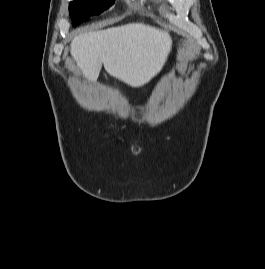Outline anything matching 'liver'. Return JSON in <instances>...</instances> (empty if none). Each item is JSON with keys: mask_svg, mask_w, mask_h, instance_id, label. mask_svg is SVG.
I'll list each match as a JSON object with an SVG mask.
<instances>
[{"mask_svg": "<svg viewBox=\"0 0 265 269\" xmlns=\"http://www.w3.org/2000/svg\"><path fill=\"white\" fill-rule=\"evenodd\" d=\"M70 52L83 76L96 82L102 64L132 87L148 83L163 68L172 48L167 31L131 23L76 36Z\"/></svg>", "mask_w": 265, "mask_h": 269, "instance_id": "6515ba94", "label": "liver"}]
</instances>
